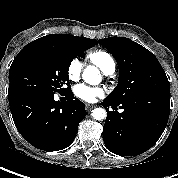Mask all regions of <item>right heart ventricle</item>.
Instances as JSON below:
<instances>
[{"mask_svg":"<svg viewBox=\"0 0 178 178\" xmlns=\"http://www.w3.org/2000/svg\"><path fill=\"white\" fill-rule=\"evenodd\" d=\"M89 60L96 65L101 71L106 73L111 68H115L113 57L103 50H95L88 54Z\"/></svg>","mask_w":178,"mask_h":178,"instance_id":"obj_1","label":"right heart ventricle"}]
</instances>
